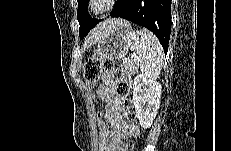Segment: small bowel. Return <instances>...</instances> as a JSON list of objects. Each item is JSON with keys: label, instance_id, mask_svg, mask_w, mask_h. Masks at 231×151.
<instances>
[{"label": "small bowel", "instance_id": "1", "mask_svg": "<svg viewBox=\"0 0 231 151\" xmlns=\"http://www.w3.org/2000/svg\"><path fill=\"white\" fill-rule=\"evenodd\" d=\"M114 86L113 74L105 73L97 94L104 105V119L110 129L109 145L112 150L116 151L119 143L128 136H136L138 129L125 119L122 100L116 94Z\"/></svg>", "mask_w": 231, "mask_h": 151}]
</instances>
